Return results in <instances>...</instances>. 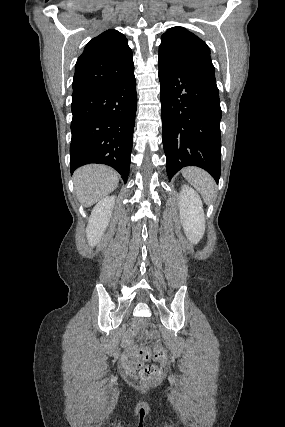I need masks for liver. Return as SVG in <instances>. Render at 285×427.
<instances>
[{
  "mask_svg": "<svg viewBox=\"0 0 285 427\" xmlns=\"http://www.w3.org/2000/svg\"><path fill=\"white\" fill-rule=\"evenodd\" d=\"M73 181L79 202L90 207L116 189L119 174L108 166L90 164L77 169Z\"/></svg>",
  "mask_w": 285,
  "mask_h": 427,
  "instance_id": "6515ba94",
  "label": "liver"
}]
</instances>
